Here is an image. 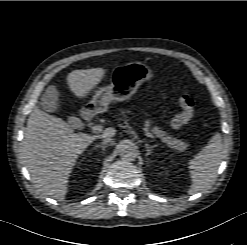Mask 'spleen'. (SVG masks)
<instances>
[{
	"instance_id": "spleen-1",
	"label": "spleen",
	"mask_w": 247,
	"mask_h": 245,
	"mask_svg": "<svg viewBox=\"0 0 247 245\" xmlns=\"http://www.w3.org/2000/svg\"><path fill=\"white\" fill-rule=\"evenodd\" d=\"M222 137L216 133L205 148L189 161L192 184L189 193H197L211 184L222 159Z\"/></svg>"
}]
</instances>
